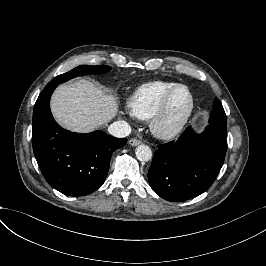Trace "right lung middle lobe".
Returning <instances> with one entry per match:
<instances>
[{
    "mask_svg": "<svg viewBox=\"0 0 266 266\" xmlns=\"http://www.w3.org/2000/svg\"><path fill=\"white\" fill-rule=\"evenodd\" d=\"M111 70L110 66L106 65H97V66H88V65H81L78 66L71 71L61 74L57 77H55L52 81H50L48 84L52 83H63L65 81H68L69 79H72L77 76H84L87 74H102L106 73Z\"/></svg>",
    "mask_w": 266,
    "mask_h": 266,
    "instance_id": "1",
    "label": "right lung middle lobe"
}]
</instances>
